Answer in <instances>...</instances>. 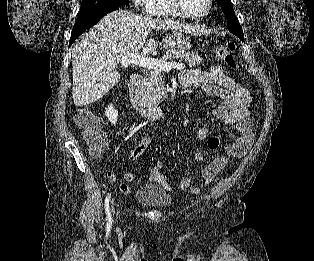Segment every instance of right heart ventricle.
Returning a JSON list of instances; mask_svg holds the SVG:
<instances>
[{
  "mask_svg": "<svg viewBox=\"0 0 314 261\" xmlns=\"http://www.w3.org/2000/svg\"><path fill=\"white\" fill-rule=\"evenodd\" d=\"M149 13L162 17H181L179 13L169 6L167 0H154Z\"/></svg>",
  "mask_w": 314,
  "mask_h": 261,
  "instance_id": "obj_1",
  "label": "right heart ventricle"
}]
</instances>
